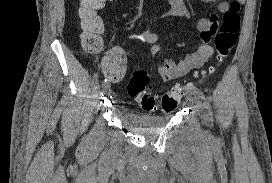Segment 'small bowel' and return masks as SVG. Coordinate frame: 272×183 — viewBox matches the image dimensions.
Returning a JSON list of instances; mask_svg holds the SVG:
<instances>
[{
  "label": "small bowel",
  "mask_w": 272,
  "mask_h": 183,
  "mask_svg": "<svg viewBox=\"0 0 272 183\" xmlns=\"http://www.w3.org/2000/svg\"><path fill=\"white\" fill-rule=\"evenodd\" d=\"M207 3H213L217 0H203ZM171 5V13L174 16L182 18H190V11L185 3V0H169ZM227 9V2H222L219 5L220 12ZM218 15L212 13L208 18L201 19L198 22V29L201 38H197L199 44L195 50L188 54L183 60L174 62L172 60H165L162 65L158 67V72L163 81H171L185 76L193 69L201 68L213 54V48L209 43H213L215 38L214 31L218 30ZM103 24V23H102ZM141 39L151 44V52L153 55L160 54L162 47L156 44L158 35L146 31L141 34ZM177 47H184L183 43H175ZM106 56L110 59L102 61V70L104 75L113 82L119 81L125 74L126 70V56L121 47L111 49Z\"/></svg>",
  "instance_id": "c3829d8e"
}]
</instances>
